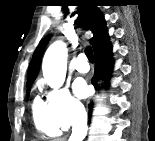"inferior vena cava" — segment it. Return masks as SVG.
<instances>
[{
	"instance_id": "obj_1",
	"label": "inferior vena cava",
	"mask_w": 155,
	"mask_h": 141,
	"mask_svg": "<svg viewBox=\"0 0 155 141\" xmlns=\"http://www.w3.org/2000/svg\"><path fill=\"white\" fill-rule=\"evenodd\" d=\"M87 115L85 111L79 114L78 120L73 125L72 134L69 141H82L87 133Z\"/></svg>"
}]
</instances>
